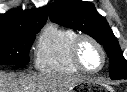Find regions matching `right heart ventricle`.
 Masks as SVG:
<instances>
[{"label": "right heart ventricle", "instance_id": "e07e8e85", "mask_svg": "<svg viewBox=\"0 0 127 92\" xmlns=\"http://www.w3.org/2000/svg\"><path fill=\"white\" fill-rule=\"evenodd\" d=\"M77 32L50 23L39 35L34 53L35 68L47 74L75 75L80 71L73 65L70 50Z\"/></svg>", "mask_w": 127, "mask_h": 92}]
</instances>
